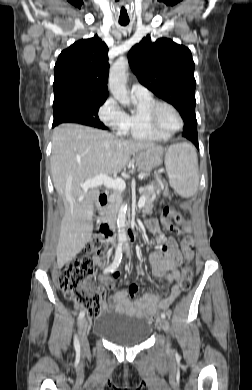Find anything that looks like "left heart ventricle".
Here are the masks:
<instances>
[{"mask_svg":"<svg viewBox=\"0 0 252 390\" xmlns=\"http://www.w3.org/2000/svg\"><path fill=\"white\" fill-rule=\"evenodd\" d=\"M160 125L166 130H174L179 125L176 114L169 108L163 107L158 115Z\"/></svg>","mask_w":252,"mask_h":390,"instance_id":"left-heart-ventricle-1","label":"left heart ventricle"}]
</instances>
